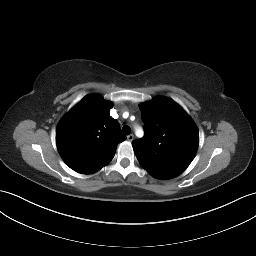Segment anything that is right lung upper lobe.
Here are the masks:
<instances>
[{
    "mask_svg": "<svg viewBox=\"0 0 256 256\" xmlns=\"http://www.w3.org/2000/svg\"><path fill=\"white\" fill-rule=\"evenodd\" d=\"M111 102L100 95L84 97L59 122L58 151L74 171L91 174L108 164L119 143L126 139L119 123L110 116Z\"/></svg>",
    "mask_w": 256,
    "mask_h": 256,
    "instance_id": "obj_1",
    "label": "right lung upper lobe"
}]
</instances>
